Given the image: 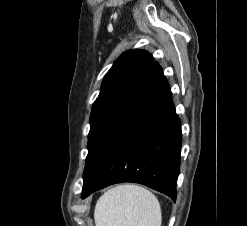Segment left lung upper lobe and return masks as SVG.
Returning <instances> with one entry per match:
<instances>
[{"label":"left lung upper lobe","instance_id":"1","mask_svg":"<svg viewBox=\"0 0 247 226\" xmlns=\"http://www.w3.org/2000/svg\"><path fill=\"white\" fill-rule=\"evenodd\" d=\"M153 57L143 50L124 52L105 75L100 94L90 115L88 151L103 129L128 100L136 87L151 69Z\"/></svg>","mask_w":247,"mask_h":226}]
</instances>
